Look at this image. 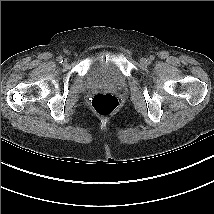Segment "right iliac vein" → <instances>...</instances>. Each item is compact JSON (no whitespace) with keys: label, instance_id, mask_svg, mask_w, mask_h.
Returning <instances> with one entry per match:
<instances>
[{"label":"right iliac vein","instance_id":"63e3f726","mask_svg":"<svg viewBox=\"0 0 214 214\" xmlns=\"http://www.w3.org/2000/svg\"><path fill=\"white\" fill-rule=\"evenodd\" d=\"M63 64H64V65H66V64H67V60H66V59L64 60Z\"/></svg>","mask_w":214,"mask_h":214}]
</instances>
